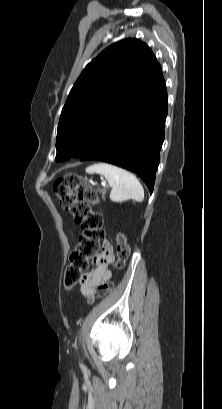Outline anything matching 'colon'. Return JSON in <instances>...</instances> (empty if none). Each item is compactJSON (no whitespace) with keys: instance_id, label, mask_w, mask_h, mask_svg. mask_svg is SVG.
Instances as JSON below:
<instances>
[{"instance_id":"obj_1","label":"colon","mask_w":222,"mask_h":409,"mask_svg":"<svg viewBox=\"0 0 222 409\" xmlns=\"http://www.w3.org/2000/svg\"><path fill=\"white\" fill-rule=\"evenodd\" d=\"M53 191L60 206L69 211L82 227L78 244L71 252L69 264L65 268L64 283L67 288H71L80 282L92 258L100 256L98 252L104 236L103 217L93 210L99 196L96 188L86 178L76 173H67L55 180ZM115 240L117 258L113 261V266L116 270H121L129 258L130 247L122 233H118ZM112 288V282L104 284L89 297V301L105 296Z\"/></svg>"}]
</instances>
